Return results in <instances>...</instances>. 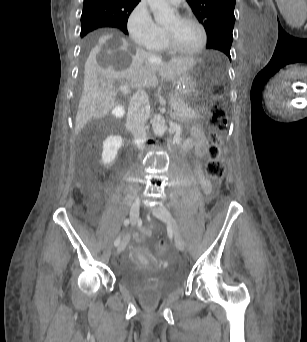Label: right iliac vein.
<instances>
[{"label":"right iliac vein","mask_w":307,"mask_h":342,"mask_svg":"<svg viewBox=\"0 0 307 342\" xmlns=\"http://www.w3.org/2000/svg\"><path fill=\"white\" fill-rule=\"evenodd\" d=\"M139 212H140V201L139 200H135L130 208V220L132 223V226L136 224L138 217H139ZM129 240V236H127L122 243L118 246L117 248V253L119 254L120 252H122L124 250V248L126 247V244Z\"/></svg>","instance_id":"right-iliac-vein-1"}]
</instances>
